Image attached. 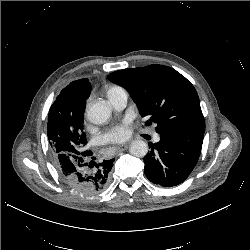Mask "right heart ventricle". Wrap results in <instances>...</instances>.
Returning <instances> with one entry per match:
<instances>
[{
	"instance_id": "obj_1",
	"label": "right heart ventricle",
	"mask_w": 250,
	"mask_h": 250,
	"mask_svg": "<svg viewBox=\"0 0 250 250\" xmlns=\"http://www.w3.org/2000/svg\"><path fill=\"white\" fill-rule=\"evenodd\" d=\"M116 89H119V87H112V88H110V89L108 90V93L111 92V91H113V90H116Z\"/></svg>"
}]
</instances>
